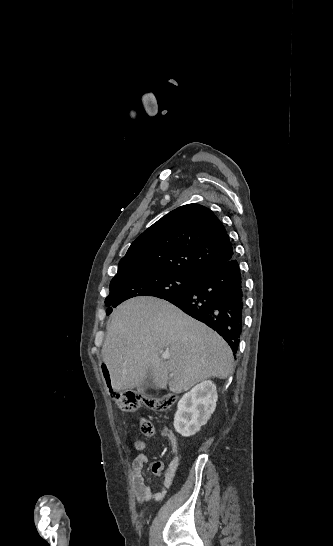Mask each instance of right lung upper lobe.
Listing matches in <instances>:
<instances>
[{
    "label": "right lung upper lobe",
    "mask_w": 333,
    "mask_h": 546,
    "mask_svg": "<svg viewBox=\"0 0 333 546\" xmlns=\"http://www.w3.org/2000/svg\"><path fill=\"white\" fill-rule=\"evenodd\" d=\"M234 257L229 236L207 207H178L145 230L120 260L118 269L174 272L199 277Z\"/></svg>",
    "instance_id": "1"
}]
</instances>
